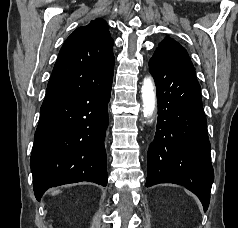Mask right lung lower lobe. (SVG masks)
<instances>
[{"label": "right lung lower lobe", "mask_w": 238, "mask_h": 228, "mask_svg": "<svg viewBox=\"0 0 238 228\" xmlns=\"http://www.w3.org/2000/svg\"><path fill=\"white\" fill-rule=\"evenodd\" d=\"M113 73L99 84L43 101L30 167L39 201L50 187L107 184L104 138Z\"/></svg>", "instance_id": "1"}]
</instances>
